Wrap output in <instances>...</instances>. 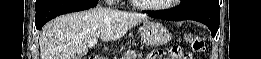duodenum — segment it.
<instances>
[{"label": "duodenum", "mask_w": 261, "mask_h": 59, "mask_svg": "<svg viewBox=\"0 0 261 59\" xmlns=\"http://www.w3.org/2000/svg\"><path fill=\"white\" fill-rule=\"evenodd\" d=\"M90 59H106V57L102 56V55H92L90 57Z\"/></svg>", "instance_id": "obj_1"}]
</instances>
